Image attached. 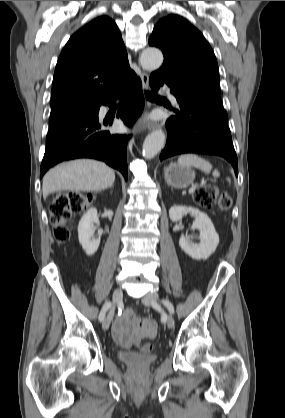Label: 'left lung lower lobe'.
<instances>
[{
	"label": "left lung lower lobe",
	"mask_w": 285,
	"mask_h": 418,
	"mask_svg": "<svg viewBox=\"0 0 285 418\" xmlns=\"http://www.w3.org/2000/svg\"><path fill=\"white\" fill-rule=\"evenodd\" d=\"M149 83L153 91H157L163 84L168 85L158 76H150ZM171 93L176 97L179 109L174 110L176 116L166 121L168 137L160 160L184 153L219 155L231 163L238 175L237 156L224 108L208 101L179 95L172 89Z\"/></svg>",
	"instance_id": "1"
}]
</instances>
